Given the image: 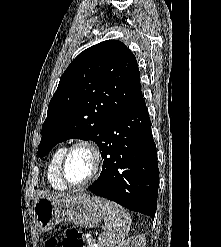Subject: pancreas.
<instances>
[{"label": "pancreas", "instance_id": "obj_1", "mask_svg": "<svg viewBox=\"0 0 221 247\" xmlns=\"http://www.w3.org/2000/svg\"><path fill=\"white\" fill-rule=\"evenodd\" d=\"M87 244H88L87 247H94V241L92 239H88Z\"/></svg>", "mask_w": 221, "mask_h": 247}]
</instances>
